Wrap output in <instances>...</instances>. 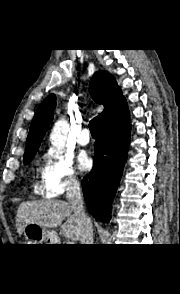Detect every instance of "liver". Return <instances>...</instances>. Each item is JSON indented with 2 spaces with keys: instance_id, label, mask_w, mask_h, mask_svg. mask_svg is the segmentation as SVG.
Instances as JSON below:
<instances>
[{
  "instance_id": "liver-1",
  "label": "liver",
  "mask_w": 180,
  "mask_h": 294,
  "mask_svg": "<svg viewBox=\"0 0 180 294\" xmlns=\"http://www.w3.org/2000/svg\"><path fill=\"white\" fill-rule=\"evenodd\" d=\"M69 202L62 200L28 201L19 205L16 213V228L22 235L25 225L36 223L43 227L55 228L62 224L61 233L73 241L80 238L78 224Z\"/></svg>"
}]
</instances>
